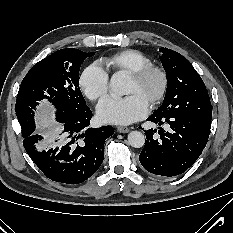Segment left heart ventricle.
I'll return each instance as SVG.
<instances>
[{
	"instance_id": "left-heart-ventricle-1",
	"label": "left heart ventricle",
	"mask_w": 233,
	"mask_h": 233,
	"mask_svg": "<svg viewBox=\"0 0 233 233\" xmlns=\"http://www.w3.org/2000/svg\"><path fill=\"white\" fill-rule=\"evenodd\" d=\"M160 86L159 77L156 74L149 75L142 82H136L130 78L127 87V94H138L147 103L157 94Z\"/></svg>"
}]
</instances>
